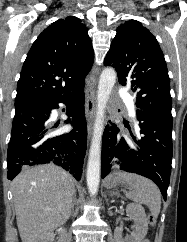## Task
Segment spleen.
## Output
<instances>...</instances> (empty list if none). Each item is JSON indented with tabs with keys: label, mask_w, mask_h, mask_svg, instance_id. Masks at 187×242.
<instances>
[{
	"label": "spleen",
	"mask_w": 187,
	"mask_h": 242,
	"mask_svg": "<svg viewBox=\"0 0 187 242\" xmlns=\"http://www.w3.org/2000/svg\"><path fill=\"white\" fill-rule=\"evenodd\" d=\"M125 183L129 185L130 192L126 196L137 203L148 206L153 217H158L161 209V193L151 180L133 173H119Z\"/></svg>",
	"instance_id": "1"
}]
</instances>
